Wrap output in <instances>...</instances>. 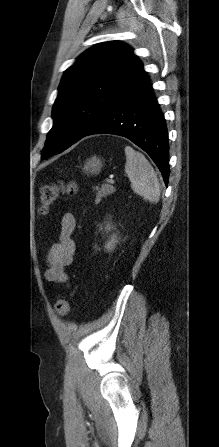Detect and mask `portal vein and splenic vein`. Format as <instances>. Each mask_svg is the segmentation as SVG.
<instances>
[{
    "label": "portal vein and splenic vein",
    "instance_id": "obj_1",
    "mask_svg": "<svg viewBox=\"0 0 219 447\" xmlns=\"http://www.w3.org/2000/svg\"><path fill=\"white\" fill-rule=\"evenodd\" d=\"M109 184H111V185H114L115 184V181L113 180V179H109Z\"/></svg>",
    "mask_w": 219,
    "mask_h": 447
}]
</instances>
